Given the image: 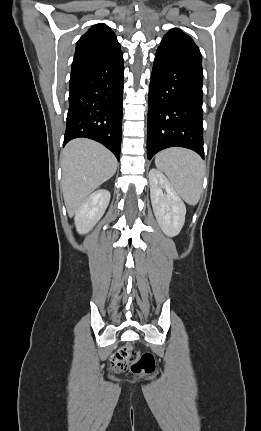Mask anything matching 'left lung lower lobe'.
<instances>
[{
    "mask_svg": "<svg viewBox=\"0 0 261 431\" xmlns=\"http://www.w3.org/2000/svg\"><path fill=\"white\" fill-rule=\"evenodd\" d=\"M202 83L200 61L157 49L148 98V159L169 147L191 149L204 159Z\"/></svg>",
    "mask_w": 261,
    "mask_h": 431,
    "instance_id": "left-lung-lower-lobe-1",
    "label": "left lung lower lobe"
}]
</instances>
